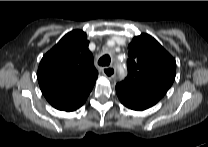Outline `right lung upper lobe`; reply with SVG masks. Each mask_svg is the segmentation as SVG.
Instances as JSON below:
<instances>
[{"instance_id":"cb5924a9","label":"right lung upper lobe","mask_w":208,"mask_h":147,"mask_svg":"<svg viewBox=\"0 0 208 147\" xmlns=\"http://www.w3.org/2000/svg\"><path fill=\"white\" fill-rule=\"evenodd\" d=\"M89 41L82 30L67 33L49 52L38 68V82L47 101L61 111H72L86 101L98 72Z\"/></svg>"}]
</instances>
